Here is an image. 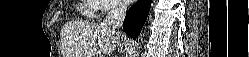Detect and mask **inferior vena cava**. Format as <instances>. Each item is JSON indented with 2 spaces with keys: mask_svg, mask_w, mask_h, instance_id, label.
I'll list each match as a JSON object with an SVG mask.
<instances>
[{
  "mask_svg": "<svg viewBox=\"0 0 249 57\" xmlns=\"http://www.w3.org/2000/svg\"><path fill=\"white\" fill-rule=\"evenodd\" d=\"M127 11V4L119 0L116 5L108 12L103 21L104 26L111 28L113 31L122 26Z\"/></svg>",
  "mask_w": 249,
  "mask_h": 57,
  "instance_id": "1",
  "label": "inferior vena cava"
}]
</instances>
